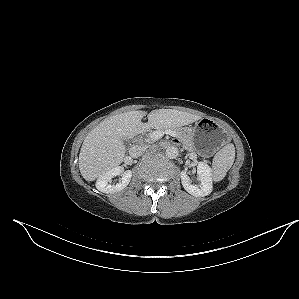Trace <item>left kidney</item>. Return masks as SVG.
Instances as JSON below:
<instances>
[{"label":"left kidney","mask_w":299,"mask_h":299,"mask_svg":"<svg viewBox=\"0 0 299 299\" xmlns=\"http://www.w3.org/2000/svg\"><path fill=\"white\" fill-rule=\"evenodd\" d=\"M197 177L200 184H191L190 177L186 172H181V183L184 189L195 197H204L212 192V170L205 162H199L197 166Z\"/></svg>","instance_id":"5707ae66"}]
</instances>
